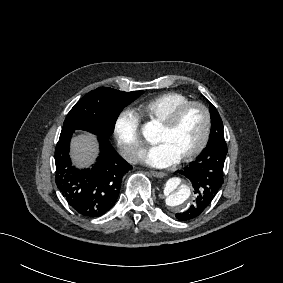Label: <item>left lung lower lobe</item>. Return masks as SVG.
Returning a JSON list of instances; mask_svg holds the SVG:
<instances>
[{"instance_id":"1","label":"left lung lower lobe","mask_w":283,"mask_h":283,"mask_svg":"<svg viewBox=\"0 0 283 283\" xmlns=\"http://www.w3.org/2000/svg\"><path fill=\"white\" fill-rule=\"evenodd\" d=\"M227 154L225 140L209 141L200 156L184 170L179 171L192 183L196 199L190 208L176 214L180 221L201 215L223 184V167Z\"/></svg>"}]
</instances>
